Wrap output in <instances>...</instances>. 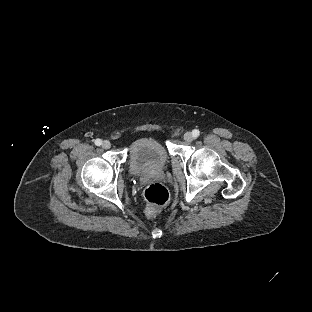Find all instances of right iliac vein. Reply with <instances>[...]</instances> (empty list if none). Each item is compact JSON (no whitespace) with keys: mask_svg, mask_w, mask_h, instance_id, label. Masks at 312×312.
Listing matches in <instances>:
<instances>
[{"mask_svg":"<svg viewBox=\"0 0 312 312\" xmlns=\"http://www.w3.org/2000/svg\"><path fill=\"white\" fill-rule=\"evenodd\" d=\"M102 147L105 149H109L111 147V142L108 140L103 141Z\"/></svg>","mask_w":312,"mask_h":312,"instance_id":"63e3f726","label":"right iliac vein"}]
</instances>
